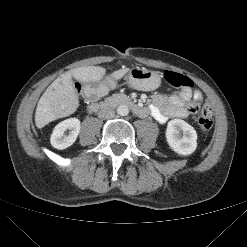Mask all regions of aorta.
Here are the masks:
<instances>
[{
	"mask_svg": "<svg viewBox=\"0 0 247 247\" xmlns=\"http://www.w3.org/2000/svg\"><path fill=\"white\" fill-rule=\"evenodd\" d=\"M117 114L120 116H126L129 114V108L127 105L123 104L117 107Z\"/></svg>",
	"mask_w": 247,
	"mask_h": 247,
	"instance_id": "obj_1",
	"label": "aorta"
}]
</instances>
